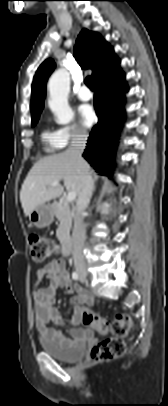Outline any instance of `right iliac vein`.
Returning <instances> with one entry per match:
<instances>
[{
	"mask_svg": "<svg viewBox=\"0 0 168 406\" xmlns=\"http://www.w3.org/2000/svg\"><path fill=\"white\" fill-rule=\"evenodd\" d=\"M78 272H79L81 278H84V279L86 278V276H87L86 269L81 268V269L78 270Z\"/></svg>",
	"mask_w": 168,
	"mask_h": 406,
	"instance_id": "right-iliac-vein-1",
	"label": "right iliac vein"
}]
</instances>
